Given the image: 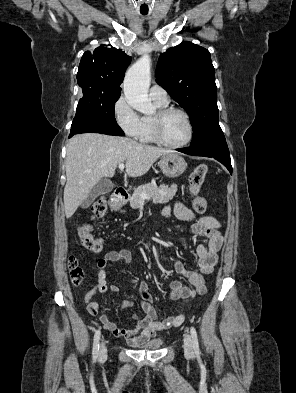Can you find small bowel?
Wrapping results in <instances>:
<instances>
[{
	"label": "small bowel",
	"mask_w": 296,
	"mask_h": 393,
	"mask_svg": "<svg viewBox=\"0 0 296 393\" xmlns=\"http://www.w3.org/2000/svg\"><path fill=\"white\" fill-rule=\"evenodd\" d=\"M175 215L179 220L190 221L192 225L188 229L187 235L181 238L182 245L187 248L190 241L196 237L204 236L208 240L201 243L196 248L195 264L197 271L186 269L180 261L174 262V269L177 273L185 276L191 287L184 285L179 280L171 283V291L167 297L171 300L192 299L196 295L206 293L205 279L213 272L217 263V252L222 246L223 237L221 235V223L212 216H197L189 207L181 202H176L172 207H166L163 210L165 217ZM132 260V254L127 249H119L107 252L97 262V279L98 283L84 295V302L88 312L93 316H98L99 321L104 328L116 337H123L131 346H139L153 338L160 330L169 329L181 325L184 321L183 314L165 316L158 312L155 307V295L150 291L148 282H143L139 287L141 297L140 306L143 315L134 314L132 320L134 327L131 329L118 326L111 321L107 315L100 314V305L93 297L97 293L111 291L119 294L121 289L117 284H110L107 279L106 267L109 262L129 263ZM134 304L133 299L123 302L122 309H127Z\"/></svg>",
	"instance_id": "c3829d8e"
}]
</instances>
